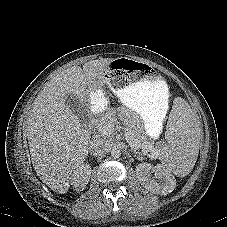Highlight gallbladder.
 <instances>
[{"label": "gallbladder", "instance_id": "gallbladder-1", "mask_svg": "<svg viewBox=\"0 0 227 227\" xmlns=\"http://www.w3.org/2000/svg\"><path fill=\"white\" fill-rule=\"evenodd\" d=\"M66 104L69 105L72 112L80 119L85 120L88 115V109L83 106L76 97L72 94H69L66 98Z\"/></svg>", "mask_w": 227, "mask_h": 227}]
</instances>
